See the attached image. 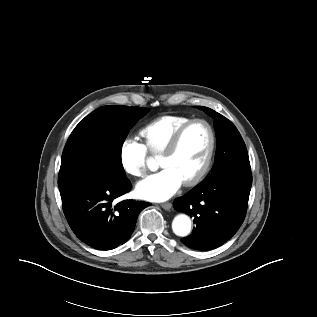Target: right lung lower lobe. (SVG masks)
<instances>
[{
	"label": "right lung lower lobe",
	"mask_w": 317,
	"mask_h": 317,
	"mask_svg": "<svg viewBox=\"0 0 317 317\" xmlns=\"http://www.w3.org/2000/svg\"><path fill=\"white\" fill-rule=\"evenodd\" d=\"M125 173L105 166L82 173L61 189L63 211L75 235L98 250H111L131 236L139 213L150 203L114 199L129 192Z\"/></svg>",
	"instance_id": "right-lung-lower-lobe-1"
}]
</instances>
